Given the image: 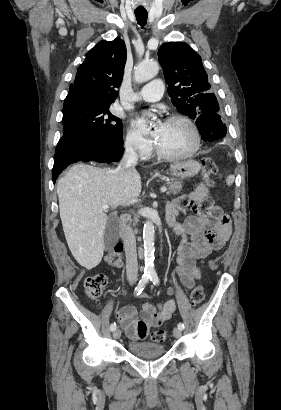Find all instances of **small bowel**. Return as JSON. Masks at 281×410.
<instances>
[{"label": "small bowel", "instance_id": "small-bowel-1", "mask_svg": "<svg viewBox=\"0 0 281 410\" xmlns=\"http://www.w3.org/2000/svg\"><path fill=\"white\" fill-rule=\"evenodd\" d=\"M206 188L200 185L195 192L182 195L167 204V221L174 233L179 236L176 268L173 274L185 288H191L200 276L197 261L207 257L212 251L221 249L231 236V223H225L220 214H201L197 212V205L203 200ZM187 215L180 223L177 217ZM188 236L190 240H188ZM136 297H147L142 290L135 292ZM175 310L173 300L164 301L159 309L152 304L145 303L141 308V318L137 317L135 307L125 305L116 314L126 335L133 341L147 338L148 331L153 326H159L170 319Z\"/></svg>", "mask_w": 281, "mask_h": 410}]
</instances>
